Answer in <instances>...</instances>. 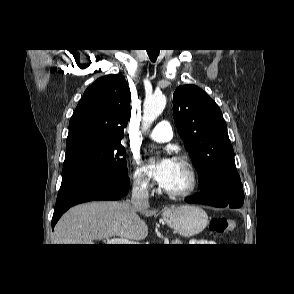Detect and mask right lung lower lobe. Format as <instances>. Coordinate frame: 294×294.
Returning <instances> with one entry per match:
<instances>
[{"label": "right lung lower lobe", "instance_id": "obj_1", "mask_svg": "<svg viewBox=\"0 0 294 294\" xmlns=\"http://www.w3.org/2000/svg\"><path fill=\"white\" fill-rule=\"evenodd\" d=\"M129 184L128 177L93 173L76 175L62 182L52 218V228L70 207L88 201L117 200L128 193Z\"/></svg>", "mask_w": 294, "mask_h": 294}]
</instances>
